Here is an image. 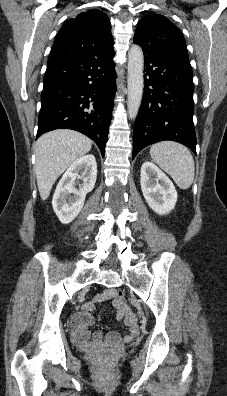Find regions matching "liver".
<instances>
[{"label": "liver", "mask_w": 227, "mask_h": 396, "mask_svg": "<svg viewBox=\"0 0 227 396\" xmlns=\"http://www.w3.org/2000/svg\"><path fill=\"white\" fill-rule=\"evenodd\" d=\"M91 147L92 141L87 136L66 129L48 132L37 140L35 174L42 200L49 197L58 177Z\"/></svg>", "instance_id": "obj_1"}]
</instances>
